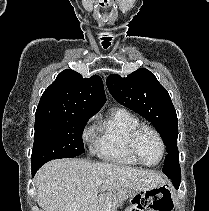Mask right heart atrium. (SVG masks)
Masks as SVG:
<instances>
[{"mask_svg":"<svg viewBox=\"0 0 209 211\" xmlns=\"http://www.w3.org/2000/svg\"><path fill=\"white\" fill-rule=\"evenodd\" d=\"M94 134V127L92 125V119H90L88 121V123L86 124L83 132H82V139L84 142H89Z\"/></svg>","mask_w":209,"mask_h":211,"instance_id":"right-heart-atrium-1","label":"right heart atrium"}]
</instances>
